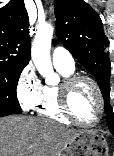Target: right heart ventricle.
<instances>
[{
	"instance_id": "right-heart-ventricle-1",
	"label": "right heart ventricle",
	"mask_w": 114,
	"mask_h": 156,
	"mask_svg": "<svg viewBox=\"0 0 114 156\" xmlns=\"http://www.w3.org/2000/svg\"><path fill=\"white\" fill-rule=\"evenodd\" d=\"M57 71L65 79L73 74V70L63 67H56ZM34 110L44 118H48L63 124H70V121L62 112L59 103V85H45L42 89L41 98Z\"/></svg>"
}]
</instances>
